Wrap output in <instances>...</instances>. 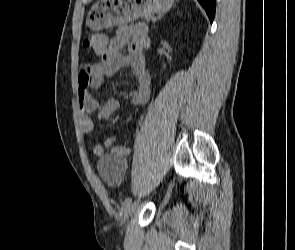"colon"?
<instances>
[{
  "label": "colon",
  "mask_w": 295,
  "mask_h": 250,
  "mask_svg": "<svg viewBox=\"0 0 295 250\" xmlns=\"http://www.w3.org/2000/svg\"><path fill=\"white\" fill-rule=\"evenodd\" d=\"M105 41L103 36L98 34H92L87 36L83 41V46L87 50L97 52L104 47Z\"/></svg>",
  "instance_id": "1"
}]
</instances>
